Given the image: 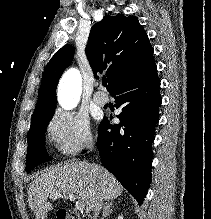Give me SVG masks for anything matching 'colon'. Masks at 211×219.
Wrapping results in <instances>:
<instances>
[{
    "label": "colon",
    "mask_w": 211,
    "mask_h": 219,
    "mask_svg": "<svg viewBox=\"0 0 211 219\" xmlns=\"http://www.w3.org/2000/svg\"><path fill=\"white\" fill-rule=\"evenodd\" d=\"M57 218L58 219H69V213L67 211H59Z\"/></svg>",
    "instance_id": "colon-1"
}]
</instances>
